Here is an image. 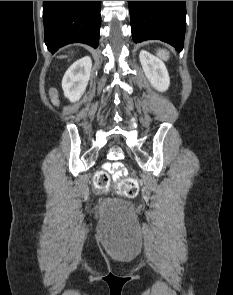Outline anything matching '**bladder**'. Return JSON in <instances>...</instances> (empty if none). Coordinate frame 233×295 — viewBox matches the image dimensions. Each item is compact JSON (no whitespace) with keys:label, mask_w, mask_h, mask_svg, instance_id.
<instances>
[{"label":"bladder","mask_w":233,"mask_h":295,"mask_svg":"<svg viewBox=\"0 0 233 295\" xmlns=\"http://www.w3.org/2000/svg\"><path fill=\"white\" fill-rule=\"evenodd\" d=\"M100 212L104 217L110 219L127 218L132 219L130 206L118 199L108 198L100 203Z\"/></svg>","instance_id":"obj_1"}]
</instances>
